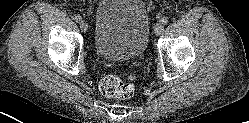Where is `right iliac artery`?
<instances>
[{"mask_svg": "<svg viewBox=\"0 0 249 123\" xmlns=\"http://www.w3.org/2000/svg\"><path fill=\"white\" fill-rule=\"evenodd\" d=\"M74 20H75L76 22H80V21L82 20V18H81L80 15H76V16L74 17Z\"/></svg>", "mask_w": 249, "mask_h": 123, "instance_id": "1", "label": "right iliac artery"}]
</instances>
